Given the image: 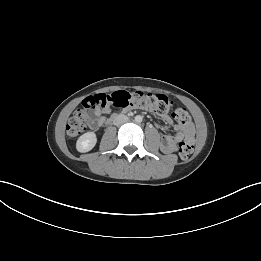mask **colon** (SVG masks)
Segmentation results:
<instances>
[{
	"label": "colon",
	"mask_w": 261,
	"mask_h": 261,
	"mask_svg": "<svg viewBox=\"0 0 261 261\" xmlns=\"http://www.w3.org/2000/svg\"><path fill=\"white\" fill-rule=\"evenodd\" d=\"M172 102L162 94L144 93L142 91H117L111 94H97L86 98L79 109L69 119L66 134L70 139H77L88 128V122L97 111H104L111 106L118 108H146L162 115L166 114ZM174 121L187 124L190 115L183 106H176L171 112ZM194 151L192 141L185 140L179 144V155L182 159H189Z\"/></svg>",
	"instance_id": "5ec220e1"
}]
</instances>
